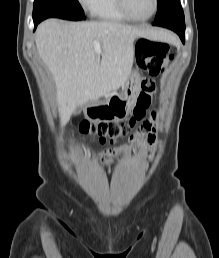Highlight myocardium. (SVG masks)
I'll use <instances>...</instances> for the list:
<instances>
[{
	"mask_svg": "<svg viewBox=\"0 0 219 258\" xmlns=\"http://www.w3.org/2000/svg\"><path fill=\"white\" fill-rule=\"evenodd\" d=\"M118 9L122 13L124 17H126L128 20L135 21V22H144L150 20L158 11L159 8V0H154V8L153 11L146 17L138 18L129 12L127 6H126V0H116Z\"/></svg>",
	"mask_w": 219,
	"mask_h": 258,
	"instance_id": "f54148a6",
	"label": "myocardium"
}]
</instances>
